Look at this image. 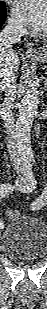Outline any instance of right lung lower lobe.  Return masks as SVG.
<instances>
[{
	"mask_svg": "<svg viewBox=\"0 0 47 309\" xmlns=\"http://www.w3.org/2000/svg\"><path fill=\"white\" fill-rule=\"evenodd\" d=\"M5 19H6V10L0 12V27L3 25Z\"/></svg>",
	"mask_w": 47,
	"mask_h": 309,
	"instance_id": "right-lung-lower-lobe-1",
	"label": "right lung lower lobe"
}]
</instances>
